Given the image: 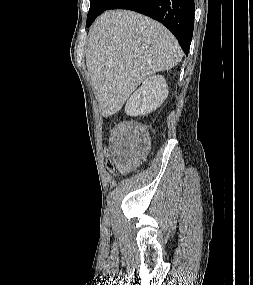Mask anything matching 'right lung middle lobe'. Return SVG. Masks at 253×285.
Returning a JSON list of instances; mask_svg holds the SVG:
<instances>
[{
	"label": "right lung middle lobe",
	"mask_w": 253,
	"mask_h": 285,
	"mask_svg": "<svg viewBox=\"0 0 253 285\" xmlns=\"http://www.w3.org/2000/svg\"><path fill=\"white\" fill-rule=\"evenodd\" d=\"M113 0H90V9L87 15V25L93 22L98 15L104 12Z\"/></svg>",
	"instance_id": "right-lung-middle-lobe-1"
}]
</instances>
